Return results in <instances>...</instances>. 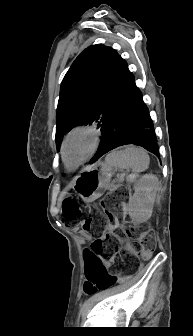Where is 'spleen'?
Wrapping results in <instances>:
<instances>
[{
	"instance_id": "spleen-1",
	"label": "spleen",
	"mask_w": 193,
	"mask_h": 336,
	"mask_svg": "<svg viewBox=\"0 0 193 336\" xmlns=\"http://www.w3.org/2000/svg\"><path fill=\"white\" fill-rule=\"evenodd\" d=\"M105 162L119 170L131 169L133 173L127 178V181L131 183L140 172L148 168L150 158L143 148L127 146L124 149L110 152L106 156Z\"/></svg>"
}]
</instances>
